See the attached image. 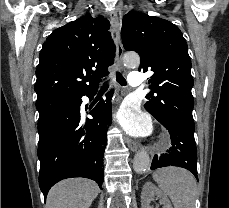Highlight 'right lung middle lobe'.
Returning a JSON list of instances; mask_svg holds the SVG:
<instances>
[{"label": "right lung middle lobe", "mask_w": 229, "mask_h": 208, "mask_svg": "<svg viewBox=\"0 0 229 208\" xmlns=\"http://www.w3.org/2000/svg\"><path fill=\"white\" fill-rule=\"evenodd\" d=\"M75 101V98H55L36 103V108L39 112L38 123L45 120L47 117L60 110L61 108L74 103Z\"/></svg>", "instance_id": "right-lung-middle-lobe-1"}]
</instances>
